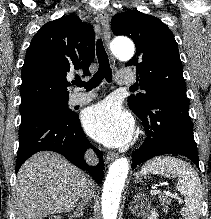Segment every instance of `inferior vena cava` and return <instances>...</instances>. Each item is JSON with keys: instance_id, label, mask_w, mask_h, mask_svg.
<instances>
[{"instance_id": "inferior-vena-cava-1", "label": "inferior vena cava", "mask_w": 211, "mask_h": 219, "mask_svg": "<svg viewBox=\"0 0 211 219\" xmlns=\"http://www.w3.org/2000/svg\"><path fill=\"white\" fill-rule=\"evenodd\" d=\"M85 160L88 164L90 165H96L98 163V158L97 156L95 155V153L92 151V150H88L86 153H85ZM90 181V185H92L93 181L92 180H89ZM92 196V193L90 190L86 191L84 193V195L82 196V199L83 201H87L90 197Z\"/></svg>"}]
</instances>
